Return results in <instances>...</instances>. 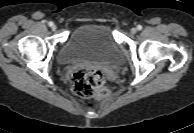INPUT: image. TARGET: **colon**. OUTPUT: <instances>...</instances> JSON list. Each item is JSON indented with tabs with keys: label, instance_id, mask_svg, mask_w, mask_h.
<instances>
[{
	"label": "colon",
	"instance_id": "obj_1",
	"mask_svg": "<svg viewBox=\"0 0 194 133\" xmlns=\"http://www.w3.org/2000/svg\"><path fill=\"white\" fill-rule=\"evenodd\" d=\"M72 83L74 93L80 97L101 99L110 94L99 70L78 68L73 73Z\"/></svg>",
	"mask_w": 194,
	"mask_h": 133
}]
</instances>
